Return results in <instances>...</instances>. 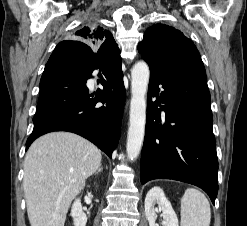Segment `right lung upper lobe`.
<instances>
[{
  "instance_id": "1",
  "label": "right lung upper lobe",
  "mask_w": 247,
  "mask_h": 226,
  "mask_svg": "<svg viewBox=\"0 0 247 226\" xmlns=\"http://www.w3.org/2000/svg\"><path fill=\"white\" fill-rule=\"evenodd\" d=\"M74 39L100 50L111 51L113 59L121 62L120 51L112 34L98 25L84 26L74 33Z\"/></svg>"
}]
</instances>
